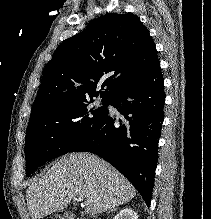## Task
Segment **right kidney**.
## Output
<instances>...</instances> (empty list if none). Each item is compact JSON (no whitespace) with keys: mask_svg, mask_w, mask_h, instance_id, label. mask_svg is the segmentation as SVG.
Returning <instances> with one entry per match:
<instances>
[{"mask_svg":"<svg viewBox=\"0 0 211 219\" xmlns=\"http://www.w3.org/2000/svg\"><path fill=\"white\" fill-rule=\"evenodd\" d=\"M113 219H138V215L130 208L122 209Z\"/></svg>","mask_w":211,"mask_h":219,"instance_id":"obj_1","label":"right kidney"}]
</instances>
